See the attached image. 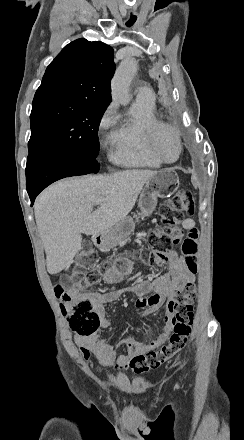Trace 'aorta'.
Wrapping results in <instances>:
<instances>
[{
    "label": "aorta",
    "mask_w": 244,
    "mask_h": 440,
    "mask_svg": "<svg viewBox=\"0 0 244 440\" xmlns=\"http://www.w3.org/2000/svg\"><path fill=\"white\" fill-rule=\"evenodd\" d=\"M136 71V62L131 58L122 61L117 68L111 82V94L112 99L118 104L127 105L129 103V87Z\"/></svg>",
    "instance_id": "1"
}]
</instances>
